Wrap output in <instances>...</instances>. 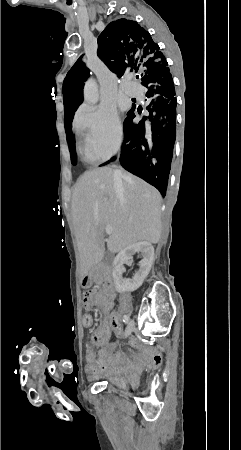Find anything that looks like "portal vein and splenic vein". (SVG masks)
<instances>
[{
	"label": "portal vein and splenic vein",
	"instance_id": "obj_1",
	"mask_svg": "<svg viewBox=\"0 0 241 450\" xmlns=\"http://www.w3.org/2000/svg\"><path fill=\"white\" fill-rule=\"evenodd\" d=\"M105 232L110 236V234H112V228H110V226H107V228H105Z\"/></svg>",
	"mask_w": 241,
	"mask_h": 450
}]
</instances>
